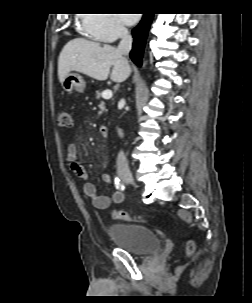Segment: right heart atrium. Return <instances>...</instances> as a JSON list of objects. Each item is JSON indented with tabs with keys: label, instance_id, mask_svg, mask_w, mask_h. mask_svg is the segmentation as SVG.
I'll use <instances>...</instances> for the list:
<instances>
[{
	"label": "right heart atrium",
	"instance_id": "d8ad5b80",
	"mask_svg": "<svg viewBox=\"0 0 252 303\" xmlns=\"http://www.w3.org/2000/svg\"><path fill=\"white\" fill-rule=\"evenodd\" d=\"M84 31L106 43H113L127 33V29L115 14H81Z\"/></svg>",
	"mask_w": 252,
	"mask_h": 303
}]
</instances>
